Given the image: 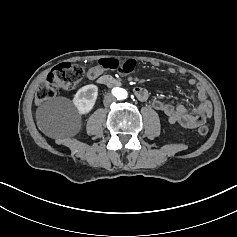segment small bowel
Listing matches in <instances>:
<instances>
[{"label":"small bowel","mask_w":237,"mask_h":237,"mask_svg":"<svg viewBox=\"0 0 237 237\" xmlns=\"http://www.w3.org/2000/svg\"><path fill=\"white\" fill-rule=\"evenodd\" d=\"M104 72L105 69L98 64L89 69L86 75L89 79L94 80L99 78ZM169 72L174 73L175 70L170 68ZM189 85L196 86L197 97L200 101V104L194 110L188 111L183 105H173L170 102L159 99H154L151 104L155 110L166 116L170 124H178L181 127L192 129L200 126L209 119L212 115L213 108L207 98L206 89L201 83L196 82L195 79H190ZM134 95L140 102H147L149 100V93L143 87H136L134 89Z\"/></svg>","instance_id":"c3829d8e"}]
</instances>
